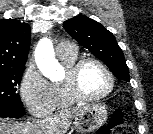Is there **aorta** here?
<instances>
[{"label":"aorta","instance_id":"762f6f07","mask_svg":"<svg viewBox=\"0 0 153 134\" xmlns=\"http://www.w3.org/2000/svg\"><path fill=\"white\" fill-rule=\"evenodd\" d=\"M35 60L41 73L49 79H53L60 71V64L55 59L52 42L47 39H41L36 47Z\"/></svg>","mask_w":153,"mask_h":134}]
</instances>
